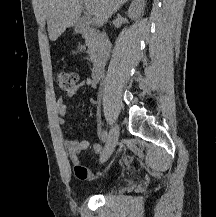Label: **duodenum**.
Wrapping results in <instances>:
<instances>
[{
    "label": "duodenum",
    "instance_id": "duodenum-1",
    "mask_svg": "<svg viewBox=\"0 0 216 217\" xmlns=\"http://www.w3.org/2000/svg\"><path fill=\"white\" fill-rule=\"evenodd\" d=\"M87 42L94 48L92 74L96 75L103 71L109 58L110 43L106 34L100 33L93 28L86 27L82 30Z\"/></svg>",
    "mask_w": 216,
    "mask_h": 217
}]
</instances>
